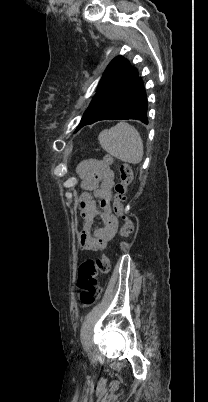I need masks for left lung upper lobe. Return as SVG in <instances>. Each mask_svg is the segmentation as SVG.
<instances>
[{
	"instance_id": "5c2ea615",
	"label": "left lung upper lobe",
	"mask_w": 208,
	"mask_h": 402,
	"mask_svg": "<svg viewBox=\"0 0 208 402\" xmlns=\"http://www.w3.org/2000/svg\"><path fill=\"white\" fill-rule=\"evenodd\" d=\"M138 77L136 68L122 56L116 57L106 68L89 107L75 131L96 122L111 106L117 103Z\"/></svg>"
}]
</instances>
